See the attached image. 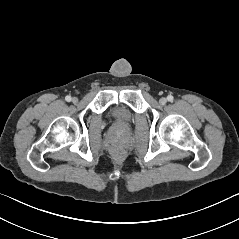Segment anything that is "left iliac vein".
Returning <instances> with one entry per match:
<instances>
[{"mask_svg": "<svg viewBox=\"0 0 239 239\" xmlns=\"http://www.w3.org/2000/svg\"><path fill=\"white\" fill-rule=\"evenodd\" d=\"M159 102H160V104L164 105V104H166L167 99L162 97V98H160Z\"/></svg>", "mask_w": 239, "mask_h": 239, "instance_id": "obj_1", "label": "left iliac vein"}]
</instances>
